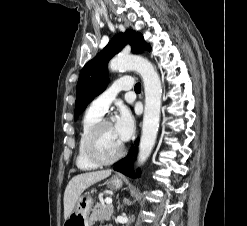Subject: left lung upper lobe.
Instances as JSON below:
<instances>
[{
	"label": "left lung upper lobe",
	"mask_w": 247,
	"mask_h": 226,
	"mask_svg": "<svg viewBox=\"0 0 247 226\" xmlns=\"http://www.w3.org/2000/svg\"><path fill=\"white\" fill-rule=\"evenodd\" d=\"M127 44L131 45L132 52L136 54L143 50H151L143 36L133 30H126L125 33H119L113 37L100 53L85 64L80 72L76 90L75 120L87 105L107 87L108 61Z\"/></svg>",
	"instance_id": "1"
}]
</instances>
